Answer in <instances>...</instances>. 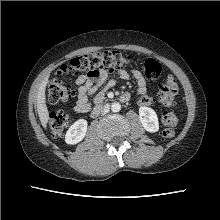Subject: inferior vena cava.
<instances>
[{
    "mask_svg": "<svg viewBox=\"0 0 220 220\" xmlns=\"http://www.w3.org/2000/svg\"><path fill=\"white\" fill-rule=\"evenodd\" d=\"M109 111V106L105 105V106H101V107H97L94 109L95 113H102V114H106Z\"/></svg>",
    "mask_w": 220,
    "mask_h": 220,
    "instance_id": "inferior-vena-cava-1",
    "label": "inferior vena cava"
}]
</instances>
